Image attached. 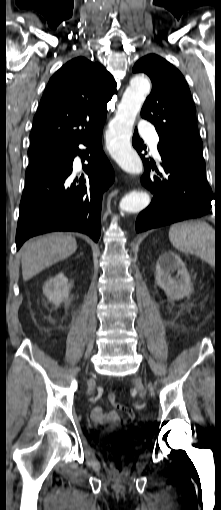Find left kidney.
I'll list each match as a JSON object with an SVG mask.
<instances>
[{"label": "left kidney", "instance_id": "left-kidney-1", "mask_svg": "<svg viewBox=\"0 0 221 510\" xmlns=\"http://www.w3.org/2000/svg\"><path fill=\"white\" fill-rule=\"evenodd\" d=\"M177 271V279L171 273ZM155 280L171 300H179L192 292L191 278L181 258L172 251L163 253L156 264Z\"/></svg>", "mask_w": 221, "mask_h": 510}]
</instances>
